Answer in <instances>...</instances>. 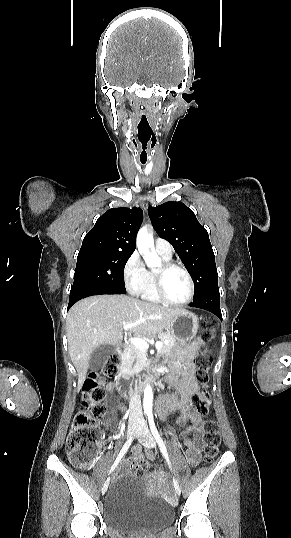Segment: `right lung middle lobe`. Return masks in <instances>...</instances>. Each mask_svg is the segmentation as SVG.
Segmentation results:
<instances>
[{
    "mask_svg": "<svg viewBox=\"0 0 291 538\" xmlns=\"http://www.w3.org/2000/svg\"><path fill=\"white\" fill-rule=\"evenodd\" d=\"M131 255L109 250L79 252L70 295L90 290L125 294L124 267Z\"/></svg>",
    "mask_w": 291,
    "mask_h": 538,
    "instance_id": "1",
    "label": "right lung middle lobe"
}]
</instances>
